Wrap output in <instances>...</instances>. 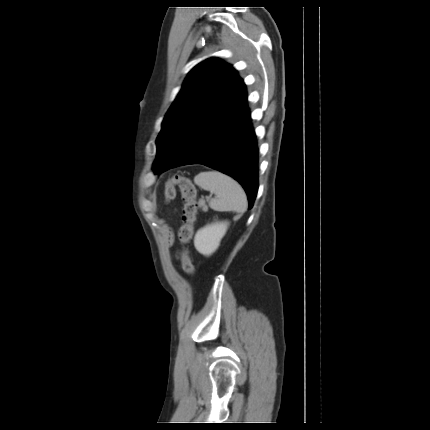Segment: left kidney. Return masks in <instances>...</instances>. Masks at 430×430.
Here are the masks:
<instances>
[{"mask_svg": "<svg viewBox=\"0 0 430 430\" xmlns=\"http://www.w3.org/2000/svg\"><path fill=\"white\" fill-rule=\"evenodd\" d=\"M229 223L227 221H215L200 228L194 238L196 250L204 256H210L220 245Z\"/></svg>", "mask_w": 430, "mask_h": 430, "instance_id": "left-kidney-1", "label": "left kidney"}]
</instances>
